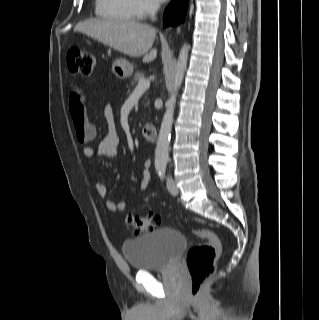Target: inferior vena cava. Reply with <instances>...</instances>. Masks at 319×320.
I'll use <instances>...</instances> for the list:
<instances>
[{
    "label": "inferior vena cava",
    "mask_w": 319,
    "mask_h": 320,
    "mask_svg": "<svg viewBox=\"0 0 319 320\" xmlns=\"http://www.w3.org/2000/svg\"><path fill=\"white\" fill-rule=\"evenodd\" d=\"M159 5L157 3H152V6H151V19L152 20H155V14H156V11L158 9Z\"/></svg>",
    "instance_id": "obj_1"
}]
</instances>
